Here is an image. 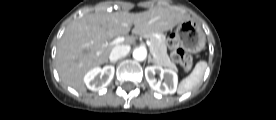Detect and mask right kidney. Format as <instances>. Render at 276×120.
<instances>
[{
	"instance_id": "right-kidney-1",
	"label": "right kidney",
	"mask_w": 276,
	"mask_h": 120,
	"mask_svg": "<svg viewBox=\"0 0 276 120\" xmlns=\"http://www.w3.org/2000/svg\"><path fill=\"white\" fill-rule=\"evenodd\" d=\"M114 72L113 66L95 67L85 75L84 82L88 89L100 91L111 82Z\"/></svg>"
}]
</instances>
